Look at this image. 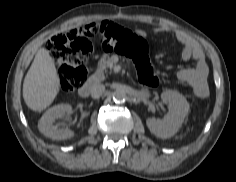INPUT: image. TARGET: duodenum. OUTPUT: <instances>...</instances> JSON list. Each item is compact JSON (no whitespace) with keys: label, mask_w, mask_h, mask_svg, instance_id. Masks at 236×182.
Returning a JSON list of instances; mask_svg holds the SVG:
<instances>
[{"label":"duodenum","mask_w":236,"mask_h":182,"mask_svg":"<svg viewBox=\"0 0 236 182\" xmlns=\"http://www.w3.org/2000/svg\"><path fill=\"white\" fill-rule=\"evenodd\" d=\"M101 73L93 76L88 82H86L84 85H82L79 88V95L82 97H87L92 88L101 80Z\"/></svg>","instance_id":"410a0bca"}]
</instances>
